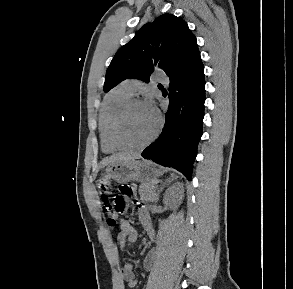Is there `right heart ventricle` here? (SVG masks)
<instances>
[{
    "label": "right heart ventricle",
    "instance_id": "obj_1",
    "mask_svg": "<svg viewBox=\"0 0 293 289\" xmlns=\"http://www.w3.org/2000/svg\"><path fill=\"white\" fill-rule=\"evenodd\" d=\"M131 96L132 94L123 85H120L111 90L103 102L99 114V137L101 148L105 153H112L118 150L110 140L112 122L119 109Z\"/></svg>",
    "mask_w": 293,
    "mask_h": 289
}]
</instances>
